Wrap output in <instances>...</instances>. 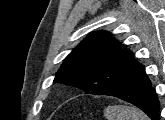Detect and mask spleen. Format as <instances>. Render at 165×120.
Returning a JSON list of instances; mask_svg holds the SVG:
<instances>
[{
	"mask_svg": "<svg viewBox=\"0 0 165 120\" xmlns=\"http://www.w3.org/2000/svg\"><path fill=\"white\" fill-rule=\"evenodd\" d=\"M104 116L107 120H149V118L135 107L113 105L104 110Z\"/></svg>",
	"mask_w": 165,
	"mask_h": 120,
	"instance_id": "spleen-1",
	"label": "spleen"
}]
</instances>
